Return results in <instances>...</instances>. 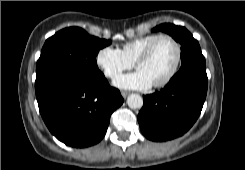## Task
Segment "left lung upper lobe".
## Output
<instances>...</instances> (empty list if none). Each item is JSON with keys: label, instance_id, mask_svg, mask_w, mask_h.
Here are the masks:
<instances>
[{"label": "left lung upper lobe", "instance_id": "left-lung-upper-lobe-1", "mask_svg": "<svg viewBox=\"0 0 245 170\" xmlns=\"http://www.w3.org/2000/svg\"><path fill=\"white\" fill-rule=\"evenodd\" d=\"M152 31H163L171 35L181 44V68H206L205 58L202 55L199 43L193 38L192 34L186 28L165 23L156 26Z\"/></svg>", "mask_w": 245, "mask_h": 170}]
</instances>
